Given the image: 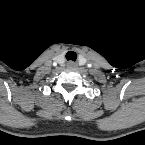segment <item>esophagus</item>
I'll return each mask as SVG.
<instances>
[{"instance_id":"obj_1","label":"esophagus","mask_w":145,"mask_h":145,"mask_svg":"<svg viewBox=\"0 0 145 145\" xmlns=\"http://www.w3.org/2000/svg\"><path fill=\"white\" fill-rule=\"evenodd\" d=\"M77 66V64L73 61H68L67 62V67L68 68H75Z\"/></svg>"}]
</instances>
